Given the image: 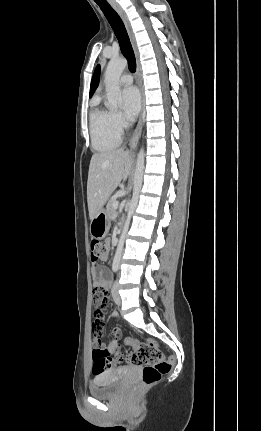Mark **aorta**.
<instances>
[{
	"instance_id": "1",
	"label": "aorta",
	"mask_w": 261,
	"mask_h": 431,
	"mask_svg": "<svg viewBox=\"0 0 261 431\" xmlns=\"http://www.w3.org/2000/svg\"><path fill=\"white\" fill-rule=\"evenodd\" d=\"M126 66H127L126 59L112 58L106 68L104 83L106 87L107 105L111 108L118 107L122 102L119 79ZM144 161H145V152H144V148H141L137 156L136 169H135L134 178H133V184H134L133 196L129 203L127 218L113 259L114 265H118L121 260L125 236L129 229L131 217L138 204L139 194H140V190L143 182Z\"/></svg>"
}]
</instances>
